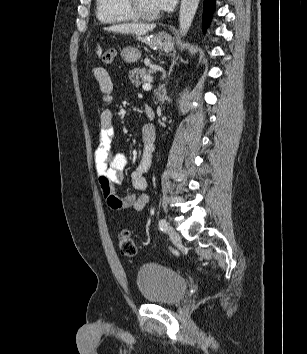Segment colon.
Here are the masks:
<instances>
[{
  "mask_svg": "<svg viewBox=\"0 0 307 354\" xmlns=\"http://www.w3.org/2000/svg\"><path fill=\"white\" fill-rule=\"evenodd\" d=\"M102 62L104 64H111L115 58L114 50H106L102 54ZM118 244L121 253L126 257H134L137 254V248L132 238L131 233L128 230L120 232L118 237Z\"/></svg>",
  "mask_w": 307,
  "mask_h": 354,
  "instance_id": "colon-1",
  "label": "colon"
}]
</instances>
